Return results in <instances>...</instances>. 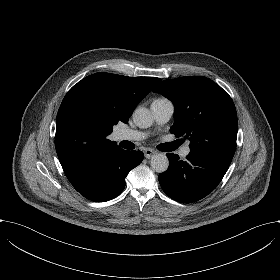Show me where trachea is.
<instances>
[{
  "label": "trachea",
  "mask_w": 280,
  "mask_h": 280,
  "mask_svg": "<svg viewBox=\"0 0 280 280\" xmlns=\"http://www.w3.org/2000/svg\"><path fill=\"white\" fill-rule=\"evenodd\" d=\"M181 143H182L181 140L164 143V144L159 145L158 149L161 151L170 152V151L176 150L181 145Z\"/></svg>",
  "instance_id": "obj_1"
}]
</instances>
